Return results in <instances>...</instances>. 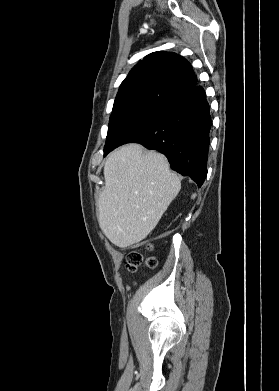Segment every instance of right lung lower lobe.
I'll use <instances>...</instances> for the list:
<instances>
[{"mask_svg": "<svg viewBox=\"0 0 279 391\" xmlns=\"http://www.w3.org/2000/svg\"><path fill=\"white\" fill-rule=\"evenodd\" d=\"M206 94L201 86L169 101L153 121L126 143H140L162 152L171 168L189 176L198 187L207 175L211 116Z\"/></svg>", "mask_w": 279, "mask_h": 391, "instance_id": "obj_1", "label": "right lung lower lobe"}]
</instances>
